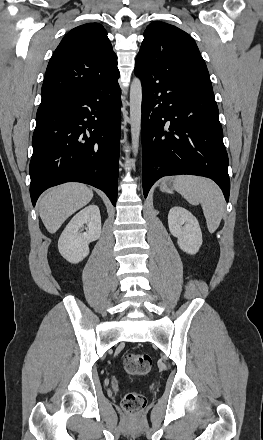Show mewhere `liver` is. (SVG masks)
Listing matches in <instances>:
<instances>
[{
	"label": "liver",
	"mask_w": 263,
	"mask_h": 440,
	"mask_svg": "<svg viewBox=\"0 0 263 440\" xmlns=\"http://www.w3.org/2000/svg\"><path fill=\"white\" fill-rule=\"evenodd\" d=\"M93 198V191L81 183H66L50 189L39 202V214L50 233Z\"/></svg>",
	"instance_id": "1"
}]
</instances>
